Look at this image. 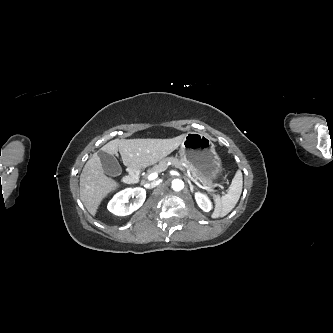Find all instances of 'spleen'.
<instances>
[{
  "label": "spleen",
  "mask_w": 333,
  "mask_h": 333,
  "mask_svg": "<svg viewBox=\"0 0 333 333\" xmlns=\"http://www.w3.org/2000/svg\"><path fill=\"white\" fill-rule=\"evenodd\" d=\"M243 177L241 171H237L228 192L223 195H214L215 208L211 215L212 218L224 217L230 213L239 201L242 193Z\"/></svg>",
  "instance_id": "3e777b00"
}]
</instances>
